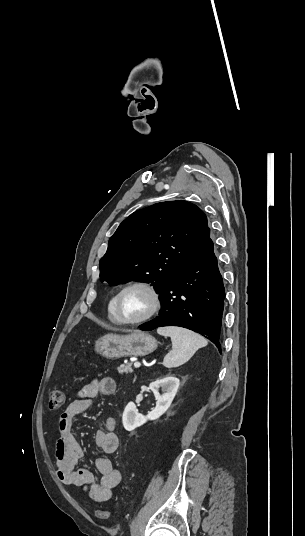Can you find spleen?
<instances>
[{
    "label": "spleen",
    "instance_id": "spleen-1",
    "mask_svg": "<svg viewBox=\"0 0 305 536\" xmlns=\"http://www.w3.org/2000/svg\"><path fill=\"white\" fill-rule=\"evenodd\" d=\"M157 332L160 336H169L172 342V350L163 360L165 368H178L186 364L199 348H204L208 344L203 336L185 328L167 326V328H158Z\"/></svg>",
    "mask_w": 305,
    "mask_h": 536
}]
</instances>
